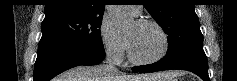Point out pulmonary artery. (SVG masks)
Instances as JSON below:
<instances>
[{
  "label": "pulmonary artery",
  "instance_id": "e3ab8cb5",
  "mask_svg": "<svg viewBox=\"0 0 237 81\" xmlns=\"http://www.w3.org/2000/svg\"><path fill=\"white\" fill-rule=\"evenodd\" d=\"M130 10L134 15H139L141 13V10L138 6H130Z\"/></svg>",
  "mask_w": 237,
  "mask_h": 81
}]
</instances>
